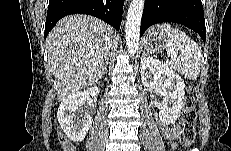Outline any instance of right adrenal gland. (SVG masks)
Masks as SVG:
<instances>
[{
  "instance_id": "right-adrenal-gland-1",
  "label": "right adrenal gland",
  "mask_w": 231,
  "mask_h": 151,
  "mask_svg": "<svg viewBox=\"0 0 231 151\" xmlns=\"http://www.w3.org/2000/svg\"><path fill=\"white\" fill-rule=\"evenodd\" d=\"M108 64H109V58L107 59V61H106V65H105V69H104V71H106L107 70V66H108Z\"/></svg>"
}]
</instances>
